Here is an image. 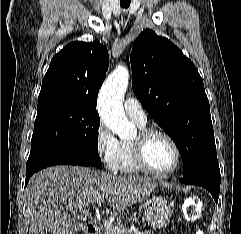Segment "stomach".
Masks as SVG:
<instances>
[{
  "mask_svg": "<svg viewBox=\"0 0 241 234\" xmlns=\"http://www.w3.org/2000/svg\"><path fill=\"white\" fill-rule=\"evenodd\" d=\"M143 211L148 225L157 229L169 222L173 214V205L162 196H153L146 200Z\"/></svg>",
  "mask_w": 241,
  "mask_h": 234,
  "instance_id": "stomach-1",
  "label": "stomach"
}]
</instances>
